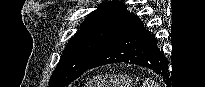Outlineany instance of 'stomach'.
<instances>
[{"label":"stomach","mask_w":205,"mask_h":87,"mask_svg":"<svg viewBox=\"0 0 205 87\" xmlns=\"http://www.w3.org/2000/svg\"><path fill=\"white\" fill-rule=\"evenodd\" d=\"M136 82L129 75H99L88 82V87H133Z\"/></svg>","instance_id":"stomach-1"}]
</instances>
